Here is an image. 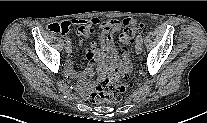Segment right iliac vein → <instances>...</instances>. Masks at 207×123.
Instances as JSON below:
<instances>
[{
    "label": "right iliac vein",
    "instance_id": "1",
    "mask_svg": "<svg viewBox=\"0 0 207 123\" xmlns=\"http://www.w3.org/2000/svg\"><path fill=\"white\" fill-rule=\"evenodd\" d=\"M66 52H67L68 54H70V53L72 52V46H71V43H67V44H66Z\"/></svg>",
    "mask_w": 207,
    "mask_h": 123
}]
</instances>
